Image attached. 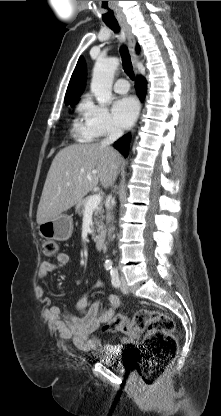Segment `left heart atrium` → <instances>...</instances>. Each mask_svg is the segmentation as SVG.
<instances>
[{
	"label": "left heart atrium",
	"instance_id": "obj_1",
	"mask_svg": "<svg viewBox=\"0 0 221 416\" xmlns=\"http://www.w3.org/2000/svg\"><path fill=\"white\" fill-rule=\"evenodd\" d=\"M138 102L132 96H124L113 104V114L122 128H129L138 115Z\"/></svg>",
	"mask_w": 221,
	"mask_h": 416
}]
</instances>
